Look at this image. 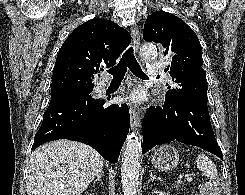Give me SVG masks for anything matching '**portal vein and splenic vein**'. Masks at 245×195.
<instances>
[{"instance_id": "portal-vein-and-splenic-vein-1", "label": "portal vein and splenic vein", "mask_w": 245, "mask_h": 195, "mask_svg": "<svg viewBox=\"0 0 245 195\" xmlns=\"http://www.w3.org/2000/svg\"><path fill=\"white\" fill-rule=\"evenodd\" d=\"M186 180H187L188 182H192L193 178H192L191 176L187 175V176H186Z\"/></svg>"}]
</instances>
